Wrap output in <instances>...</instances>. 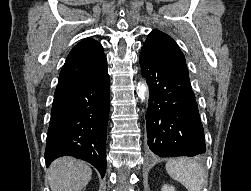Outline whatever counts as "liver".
Instances as JSON below:
<instances>
[{"label": "liver", "instance_id": "6515ba94", "mask_svg": "<svg viewBox=\"0 0 251 191\" xmlns=\"http://www.w3.org/2000/svg\"><path fill=\"white\" fill-rule=\"evenodd\" d=\"M92 169L81 159L58 157L48 169L52 191H81L90 181Z\"/></svg>", "mask_w": 251, "mask_h": 191}]
</instances>
